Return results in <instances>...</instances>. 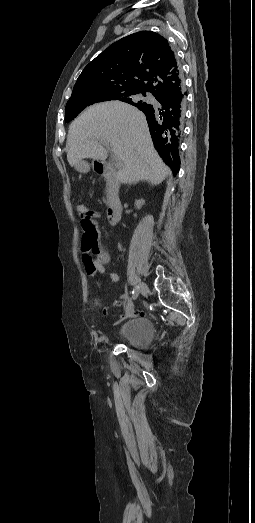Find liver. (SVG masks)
Here are the masks:
<instances>
[{
	"label": "liver",
	"mask_w": 255,
	"mask_h": 523,
	"mask_svg": "<svg viewBox=\"0 0 255 523\" xmlns=\"http://www.w3.org/2000/svg\"><path fill=\"white\" fill-rule=\"evenodd\" d=\"M102 144L123 162L117 174L121 184L149 180L157 186L170 172L153 146L145 114L130 104H95L70 124L66 144L70 166L76 168L84 158L106 160Z\"/></svg>",
	"instance_id": "obj_1"
}]
</instances>
